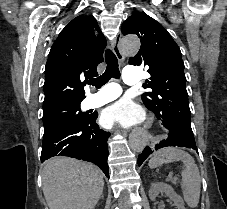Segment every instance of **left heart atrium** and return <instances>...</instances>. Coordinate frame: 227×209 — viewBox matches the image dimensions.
<instances>
[{"label": "left heart atrium", "instance_id": "1", "mask_svg": "<svg viewBox=\"0 0 227 209\" xmlns=\"http://www.w3.org/2000/svg\"><path fill=\"white\" fill-rule=\"evenodd\" d=\"M143 108L129 99H121L110 104L101 114L100 122L104 127L119 124L129 128L144 120Z\"/></svg>", "mask_w": 227, "mask_h": 209}]
</instances>
